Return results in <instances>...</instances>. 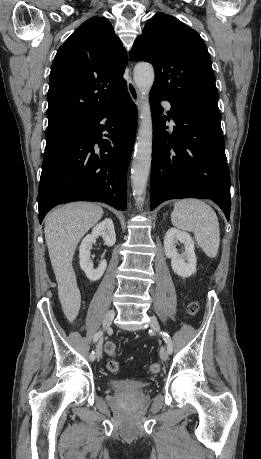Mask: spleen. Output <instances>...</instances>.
<instances>
[{
  "mask_svg": "<svg viewBox=\"0 0 261 459\" xmlns=\"http://www.w3.org/2000/svg\"><path fill=\"white\" fill-rule=\"evenodd\" d=\"M171 222L176 228L193 232L198 246L209 258L218 254L219 222L216 212L202 200L182 199L174 204Z\"/></svg>",
  "mask_w": 261,
  "mask_h": 459,
  "instance_id": "spleen-1",
  "label": "spleen"
}]
</instances>
